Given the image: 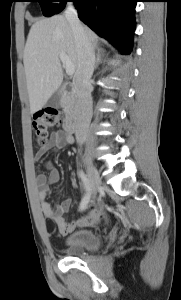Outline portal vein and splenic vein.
Masks as SVG:
<instances>
[{
  "mask_svg": "<svg viewBox=\"0 0 181 300\" xmlns=\"http://www.w3.org/2000/svg\"><path fill=\"white\" fill-rule=\"evenodd\" d=\"M59 57L65 67L67 75H73L75 72V67H74L73 63L71 62V60L64 53H61L59 55Z\"/></svg>",
  "mask_w": 181,
  "mask_h": 300,
  "instance_id": "18ae733b",
  "label": "portal vein and splenic vein"
}]
</instances>
